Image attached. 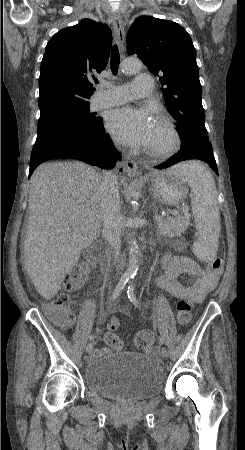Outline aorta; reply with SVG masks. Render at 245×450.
<instances>
[{
    "label": "aorta",
    "mask_w": 245,
    "mask_h": 450,
    "mask_svg": "<svg viewBox=\"0 0 245 450\" xmlns=\"http://www.w3.org/2000/svg\"><path fill=\"white\" fill-rule=\"evenodd\" d=\"M142 63L135 58H126L121 63V70L124 74H133L140 71ZM129 264L127 275L134 277L138 270L139 256L138 247L132 234H128Z\"/></svg>",
    "instance_id": "1"
}]
</instances>
